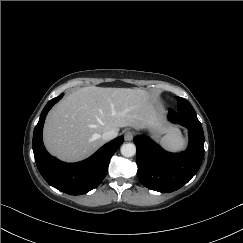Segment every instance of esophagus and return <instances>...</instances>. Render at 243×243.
Returning a JSON list of instances; mask_svg holds the SVG:
<instances>
[{"label": "esophagus", "mask_w": 243, "mask_h": 243, "mask_svg": "<svg viewBox=\"0 0 243 243\" xmlns=\"http://www.w3.org/2000/svg\"><path fill=\"white\" fill-rule=\"evenodd\" d=\"M134 137V132L131 131V130H127L125 133H124V138L126 141H131Z\"/></svg>", "instance_id": "esophagus-1"}]
</instances>
